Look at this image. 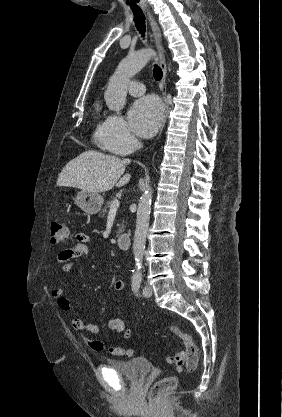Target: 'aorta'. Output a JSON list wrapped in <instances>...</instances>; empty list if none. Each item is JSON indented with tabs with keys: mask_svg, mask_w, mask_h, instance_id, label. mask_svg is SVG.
Segmentation results:
<instances>
[{
	"mask_svg": "<svg viewBox=\"0 0 282 417\" xmlns=\"http://www.w3.org/2000/svg\"><path fill=\"white\" fill-rule=\"evenodd\" d=\"M154 54L155 52L152 48H141V50H137L134 54H129V56L120 60L114 74L109 78L104 94L105 102L110 110H116V114H120V110H122L124 104H126L128 80H130L136 72H139ZM152 194V186H147L138 202L136 229L133 241L134 279H141L142 277Z\"/></svg>",
	"mask_w": 282,
	"mask_h": 417,
	"instance_id": "1",
	"label": "aorta"
}]
</instances>
